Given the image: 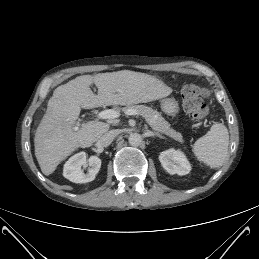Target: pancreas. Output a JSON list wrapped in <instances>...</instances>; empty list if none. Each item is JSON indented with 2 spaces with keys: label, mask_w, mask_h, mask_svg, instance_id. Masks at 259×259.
<instances>
[{
  "label": "pancreas",
  "mask_w": 259,
  "mask_h": 259,
  "mask_svg": "<svg viewBox=\"0 0 259 259\" xmlns=\"http://www.w3.org/2000/svg\"><path fill=\"white\" fill-rule=\"evenodd\" d=\"M129 109L139 112L153 130L163 133L170 138L183 143V137L181 133L176 132L173 128H171L170 124L161 116L157 110H154L151 107L145 105L127 106L122 110L126 112Z\"/></svg>",
  "instance_id": "pancreas-1"
}]
</instances>
